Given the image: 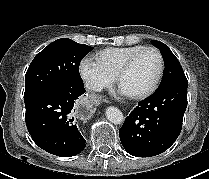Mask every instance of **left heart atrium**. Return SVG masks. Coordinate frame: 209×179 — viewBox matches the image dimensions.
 <instances>
[{"label":"left heart atrium","mask_w":209,"mask_h":179,"mask_svg":"<svg viewBox=\"0 0 209 179\" xmlns=\"http://www.w3.org/2000/svg\"><path fill=\"white\" fill-rule=\"evenodd\" d=\"M119 93L121 94V95H128L123 89H119Z\"/></svg>","instance_id":"left-heart-atrium-1"}]
</instances>
